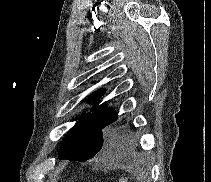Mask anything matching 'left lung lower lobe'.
Segmentation results:
<instances>
[{
	"mask_svg": "<svg viewBox=\"0 0 211 182\" xmlns=\"http://www.w3.org/2000/svg\"><path fill=\"white\" fill-rule=\"evenodd\" d=\"M113 142L119 146H122L124 145L125 140L120 135H115V137L113 138Z\"/></svg>",
	"mask_w": 211,
	"mask_h": 182,
	"instance_id": "0a47b994",
	"label": "left lung lower lobe"
}]
</instances>
